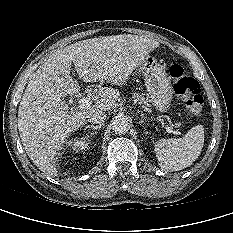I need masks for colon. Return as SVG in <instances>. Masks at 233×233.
Instances as JSON below:
<instances>
[{
  "mask_svg": "<svg viewBox=\"0 0 233 233\" xmlns=\"http://www.w3.org/2000/svg\"><path fill=\"white\" fill-rule=\"evenodd\" d=\"M174 91L186 103L187 109L193 115H200L203 110L204 98L199 83L189 76L179 64H174L169 69Z\"/></svg>",
  "mask_w": 233,
  "mask_h": 233,
  "instance_id": "obj_1",
  "label": "colon"
}]
</instances>
